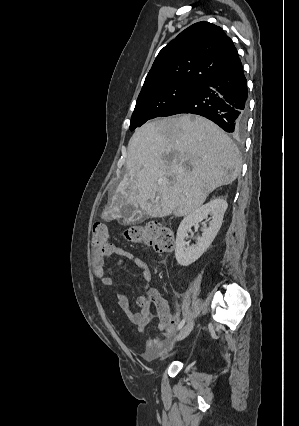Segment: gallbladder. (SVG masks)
Listing matches in <instances>:
<instances>
[{"instance_id": "gallbladder-1", "label": "gallbladder", "mask_w": 299, "mask_h": 426, "mask_svg": "<svg viewBox=\"0 0 299 426\" xmlns=\"http://www.w3.org/2000/svg\"><path fill=\"white\" fill-rule=\"evenodd\" d=\"M122 217V223L127 225L142 222L147 218L145 213L141 214L138 209L131 204L122 208Z\"/></svg>"}]
</instances>
